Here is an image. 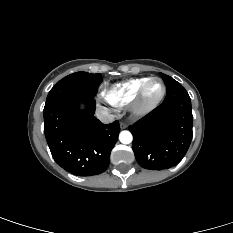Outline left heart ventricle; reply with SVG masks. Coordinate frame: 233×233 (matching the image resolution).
<instances>
[{
  "mask_svg": "<svg viewBox=\"0 0 233 233\" xmlns=\"http://www.w3.org/2000/svg\"><path fill=\"white\" fill-rule=\"evenodd\" d=\"M162 86L159 81H153L148 86L146 93H145V100L147 102H152L156 100L159 95L161 94Z\"/></svg>",
  "mask_w": 233,
  "mask_h": 233,
  "instance_id": "b2bd125f",
  "label": "left heart ventricle"
}]
</instances>
